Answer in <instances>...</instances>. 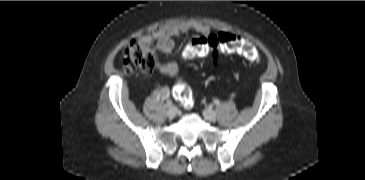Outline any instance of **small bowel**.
I'll return each mask as SVG.
<instances>
[{"label": "small bowel", "instance_id": "c3829d8e", "mask_svg": "<svg viewBox=\"0 0 365 180\" xmlns=\"http://www.w3.org/2000/svg\"><path fill=\"white\" fill-rule=\"evenodd\" d=\"M194 31L199 34V37H209V27L200 22H188L178 25H173L161 28L155 31L152 35L141 38L142 44L152 49L154 53L168 54L175 46V39L181 34ZM158 72L167 77H175L179 72V66L175 62L157 63ZM154 94L160 99H165L170 94V89L167 86H161L155 89Z\"/></svg>", "mask_w": 365, "mask_h": 180}]
</instances>
